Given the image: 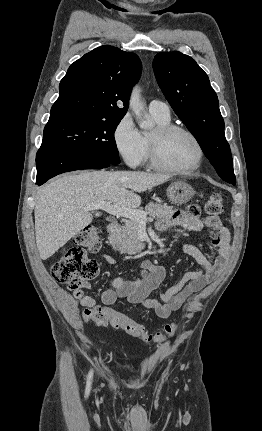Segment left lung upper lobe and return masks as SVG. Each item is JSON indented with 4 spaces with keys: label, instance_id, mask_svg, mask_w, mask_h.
<instances>
[{
    "label": "left lung upper lobe",
    "instance_id": "5c2ea615",
    "mask_svg": "<svg viewBox=\"0 0 262 431\" xmlns=\"http://www.w3.org/2000/svg\"><path fill=\"white\" fill-rule=\"evenodd\" d=\"M153 68L167 101L194 135L218 175L235 185L224 120L207 74L194 59L178 51L158 53Z\"/></svg>",
    "mask_w": 262,
    "mask_h": 431
}]
</instances>
